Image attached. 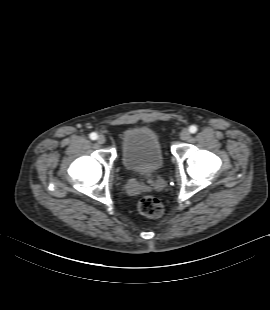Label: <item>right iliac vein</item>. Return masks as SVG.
Segmentation results:
<instances>
[{
	"label": "right iliac vein",
	"mask_w": 270,
	"mask_h": 310,
	"mask_svg": "<svg viewBox=\"0 0 270 310\" xmlns=\"http://www.w3.org/2000/svg\"><path fill=\"white\" fill-rule=\"evenodd\" d=\"M97 142H98L99 144H104V143L106 142L105 136H104V135H100V136L98 137V139H97Z\"/></svg>",
	"instance_id": "1"
}]
</instances>
